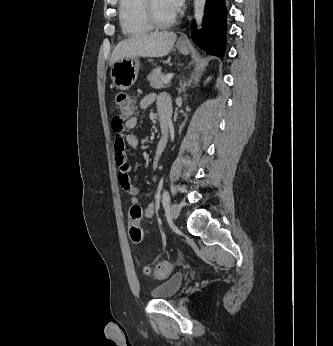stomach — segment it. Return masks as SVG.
Returning a JSON list of instances; mask_svg holds the SVG:
<instances>
[{
  "label": "stomach",
  "mask_w": 333,
  "mask_h": 346,
  "mask_svg": "<svg viewBox=\"0 0 333 346\" xmlns=\"http://www.w3.org/2000/svg\"><path fill=\"white\" fill-rule=\"evenodd\" d=\"M177 49L182 54L189 52V46L185 43H177ZM140 61L138 58H122L112 64L110 75L113 84L117 89L127 90L138 77Z\"/></svg>",
  "instance_id": "obj_1"
}]
</instances>
